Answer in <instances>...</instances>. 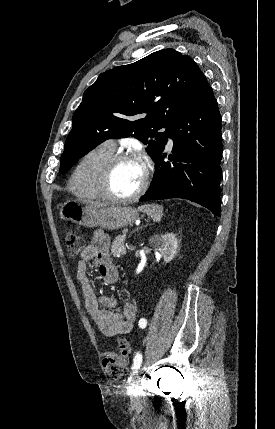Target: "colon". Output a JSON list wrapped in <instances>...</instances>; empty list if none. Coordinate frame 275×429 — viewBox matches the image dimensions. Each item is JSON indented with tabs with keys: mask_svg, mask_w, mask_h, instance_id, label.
<instances>
[{
	"mask_svg": "<svg viewBox=\"0 0 275 429\" xmlns=\"http://www.w3.org/2000/svg\"><path fill=\"white\" fill-rule=\"evenodd\" d=\"M65 245L69 257H77L84 246V240L81 235L68 232L65 235ZM130 354V346L126 339H118V352H107L102 359V366L105 373L112 379H119L127 366Z\"/></svg>",
	"mask_w": 275,
	"mask_h": 429,
	"instance_id": "1",
	"label": "colon"
}]
</instances>
